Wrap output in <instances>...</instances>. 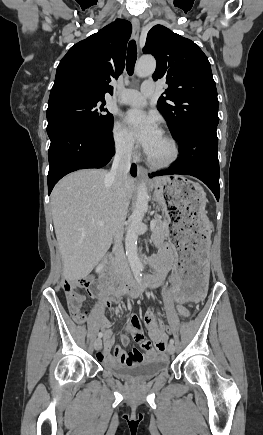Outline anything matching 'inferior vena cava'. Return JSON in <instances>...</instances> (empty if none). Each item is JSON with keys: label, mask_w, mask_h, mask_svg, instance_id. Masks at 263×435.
I'll return each mask as SVG.
<instances>
[{"label": "inferior vena cava", "mask_w": 263, "mask_h": 435, "mask_svg": "<svg viewBox=\"0 0 263 435\" xmlns=\"http://www.w3.org/2000/svg\"><path fill=\"white\" fill-rule=\"evenodd\" d=\"M130 162L131 147L124 151L117 152L113 160L112 168L106 176V181L112 183L113 185L116 210L120 215L125 216V218L129 205L126 193V180L130 171ZM113 237V252L115 254L117 266L121 273L128 275L130 274V268L122 245V226L117 225L115 227L113 231Z\"/></svg>", "instance_id": "602c4592"}]
</instances>
